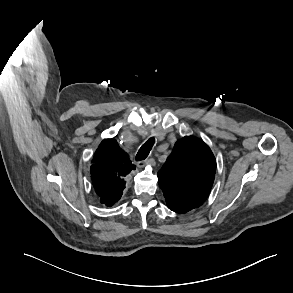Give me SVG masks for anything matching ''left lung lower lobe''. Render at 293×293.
Segmentation results:
<instances>
[{"label":"left lung lower lobe","instance_id":"1","mask_svg":"<svg viewBox=\"0 0 293 293\" xmlns=\"http://www.w3.org/2000/svg\"><path fill=\"white\" fill-rule=\"evenodd\" d=\"M168 208L174 212H177V213H186V211L182 208H179V207H176V206H173V205H167Z\"/></svg>","mask_w":293,"mask_h":293}]
</instances>
